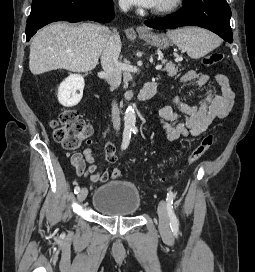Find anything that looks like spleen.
Listing matches in <instances>:
<instances>
[{
	"label": "spleen",
	"instance_id": "spleen-1",
	"mask_svg": "<svg viewBox=\"0 0 255 272\" xmlns=\"http://www.w3.org/2000/svg\"><path fill=\"white\" fill-rule=\"evenodd\" d=\"M167 36L193 59L203 57L220 44V40L216 35L199 27L169 30Z\"/></svg>",
	"mask_w": 255,
	"mask_h": 272
}]
</instances>
